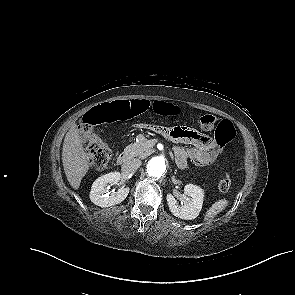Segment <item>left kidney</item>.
Segmentation results:
<instances>
[{"instance_id":"obj_1","label":"left kidney","mask_w":295,"mask_h":295,"mask_svg":"<svg viewBox=\"0 0 295 295\" xmlns=\"http://www.w3.org/2000/svg\"><path fill=\"white\" fill-rule=\"evenodd\" d=\"M183 201L178 205L172 194H167V204L171 213L181 219L192 220L198 217L203 204L204 191L197 185L187 184L184 187Z\"/></svg>"}]
</instances>
